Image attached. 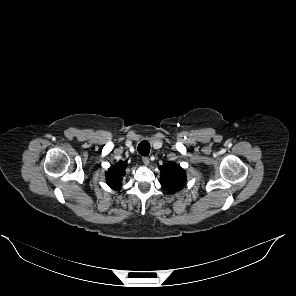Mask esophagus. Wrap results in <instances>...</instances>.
I'll return each instance as SVG.
<instances>
[{
	"instance_id": "1",
	"label": "esophagus",
	"mask_w": 296,
	"mask_h": 296,
	"mask_svg": "<svg viewBox=\"0 0 296 296\" xmlns=\"http://www.w3.org/2000/svg\"><path fill=\"white\" fill-rule=\"evenodd\" d=\"M142 161H143V163H144L146 166L149 165V158H148V157L144 156V157L142 158Z\"/></svg>"
}]
</instances>
